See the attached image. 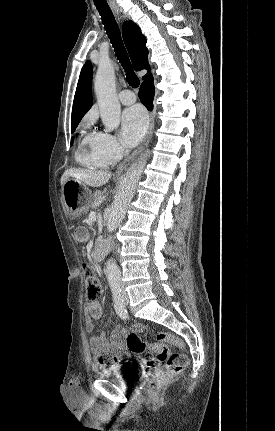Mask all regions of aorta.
Wrapping results in <instances>:
<instances>
[{
  "instance_id": "762f6f07",
  "label": "aorta",
  "mask_w": 275,
  "mask_h": 431,
  "mask_svg": "<svg viewBox=\"0 0 275 431\" xmlns=\"http://www.w3.org/2000/svg\"><path fill=\"white\" fill-rule=\"evenodd\" d=\"M101 120L107 131L118 128L120 124L121 106L116 96L115 73L111 62H101L94 83ZM148 152L142 154L125 173L119 190L111 205L107 220V230L113 232L125 217L127 207L131 202L136 186L143 174ZM106 276L110 284L120 281L121 272L115 260L106 263Z\"/></svg>"
}]
</instances>
